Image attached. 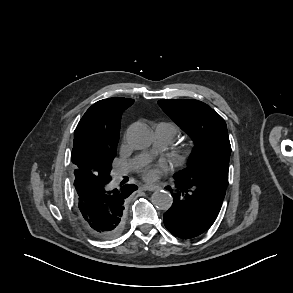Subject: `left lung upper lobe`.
<instances>
[{
  "mask_svg": "<svg viewBox=\"0 0 293 293\" xmlns=\"http://www.w3.org/2000/svg\"><path fill=\"white\" fill-rule=\"evenodd\" d=\"M158 103L195 143L187 167L174 178L226 190L231 145L224 119L198 100L162 99Z\"/></svg>",
  "mask_w": 293,
  "mask_h": 293,
  "instance_id": "obj_1",
  "label": "left lung upper lobe"
}]
</instances>
